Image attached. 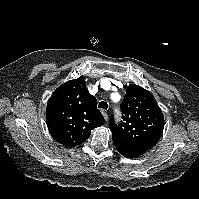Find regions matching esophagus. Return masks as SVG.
I'll return each mask as SVG.
<instances>
[{
    "instance_id": "34e87169",
    "label": "esophagus",
    "mask_w": 199,
    "mask_h": 199,
    "mask_svg": "<svg viewBox=\"0 0 199 199\" xmlns=\"http://www.w3.org/2000/svg\"><path fill=\"white\" fill-rule=\"evenodd\" d=\"M102 114H103L104 119L107 121V119H108L107 113L105 111H103Z\"/></svg>"
}]
</instances>
